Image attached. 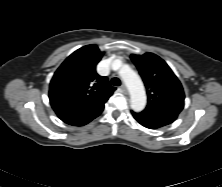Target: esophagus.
I'll use <instances>...</instances> for the list:
<instances>
[{
	"instance_id": "1",
	"label": "esophagus",
	"mask_w": 222,
	"mask_h": 187,
	"mask_svg": "<svg viewBox=\"0 0 222 187\" xmlns=\"http://www.w3.org/2000/svg\"><path fill=\"white\" fill-rule=\"evenodd\" d=\"M120 90L123 92V93H127V88H126V86H125V84H122L121 86H120Z\"/></svg>"
}]
</instances>
